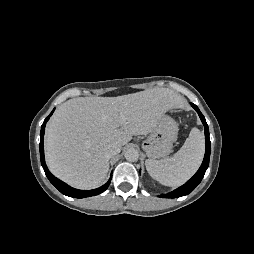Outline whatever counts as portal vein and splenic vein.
Listing matches in <instances>:
<instances>
[{"instance_id": "obj_1", "label": "portal vein and splenic vein", "mask_w": 254, "mask_h": 254, "mask_svg": "<svg viewBox=\"0 0 254 254\" xmlns=\"http://www.w3.org/2000/svg\"><path fill=\"white\" fill-rule=\"evenodd\" d=\"M125 120L124 116L121 115V123Z\"/></svg>"}]
</instances>
